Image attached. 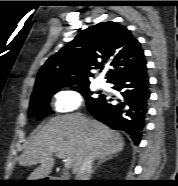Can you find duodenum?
Listing matches in <instances>:
<instances>
[{"instance_id":"1","label":"duodenum","mask_w":178,"mask_h":186,"mask_svg":"<svg viewBox=\"0 0 178 186\" xmlns=\"http://www.w3.org/2000/svg\"><path fill=\"white\" fill-rule=\"evenodd\" d=\"M50 178H56V177L52 176V177H50Z\"/></svg>"}]
</instances>
